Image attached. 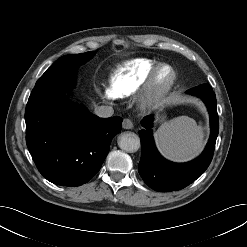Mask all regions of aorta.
<instances>
[{
	"label": "aorta",
	"instance_id": "1",
	"mask_svg": "<svg viewBox=\"0 0 247 247\" xmlns=\"http://www.w3.org/2000/svg\"><path fill=\"white\" fill-rule=\"evenodd\" d=\"M118 146L126 152H136L140 148V138L133 132H124L118 137Z\"/></svg>",
	"mask_w": 247,
	"mask_h": 247
}]
</instances>
